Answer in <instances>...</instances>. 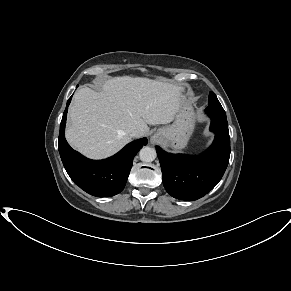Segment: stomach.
Here are the masks:
<instances>
[{"instance_id": "stomach-1", "label": "stomach", "mask_w": 291, "mask_h": 291, "mask_svg": "<svg viewBox=\"0 0 291 291\" xmlns=\"http://www.w3.org/2000/svg\"><path fill=\"white\" fill-rule=\"evenodd\" d=\"M195 128V113L191 102L182 97L172 125L159 128L154 137L166 142L171 148L180 150L187 146Z\"/></svg>"}]
</instances>
